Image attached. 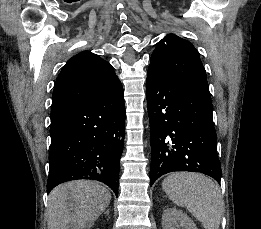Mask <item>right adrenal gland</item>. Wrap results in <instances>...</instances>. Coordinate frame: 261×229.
<instances>
[{
    "label": "right adrenal gland",
    "mask_w": 261,
    "mask_h": 229,
    "mask_svg": "<svg viewBox=\"0 0 261 229\" xmlns=\"http://www.w3.org/2000/svg\"><path fill=\"white\" fill-rule=\"evenodd\" d=\"M110 211L108 209V211H105L104 215H109Z\"/></svg>",
    "instance_id": "2a0ac1e0"
}]
</instances>
